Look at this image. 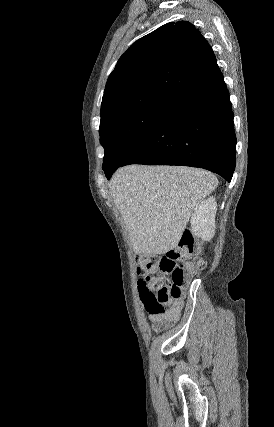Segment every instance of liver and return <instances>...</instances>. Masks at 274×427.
Returning <instances> with one entry per match:
<instances>
[{
  "mask_svg": "<svg viewBox=\"0 0 274 427\" xmlns=\"http://www.w3.org/2000/svg\"><path fill=\"white\" fill-rule=\"evenodd\" d=\"M217 186L211 172L185 166H125L109 184L135 253L177 247L195 206Z\"/></svg>",
  "mask_w": 274,
  "mask_h": 427,
  "instance_id": "obj_1",
  "label": "liver"
}]
</instances>
